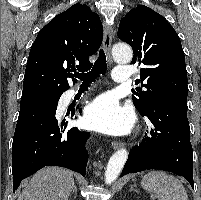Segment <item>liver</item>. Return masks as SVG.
<instances>
[{"instance_id":"1","label":"liver","mask_w":201,"mask_h":200,"mask_svg":"<svg viewBox=\"0 0 201 200\" xmlns=\"http://www.w3.org/2000/svg\"><path fill=\"white\" fill-rule=\"evenodd\" d=\"M74 179L68 170L46 167L38 171L18 200H68Z\"/></svg>"}]
</instances>
